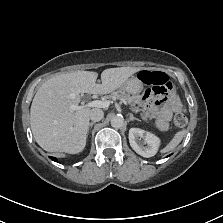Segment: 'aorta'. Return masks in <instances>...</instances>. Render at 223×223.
I'll return each mask as SVG.
<instances>
[{
	"instance_id": "1",
	"label": "aorta",
	"mask_w": 223,
	"mask_h": 223,
	"mask_svg": "<svg viewBox=\"0 0 223 223\" xmlns=\"http://www.w3.org/2000/svg\"><path fill=\"white\" fill-rule=\"evenodd\" d=\"M124 124V119L121 115H116L111 118V126L114 128H120Z\"/></svg>"
}]
</instances>
